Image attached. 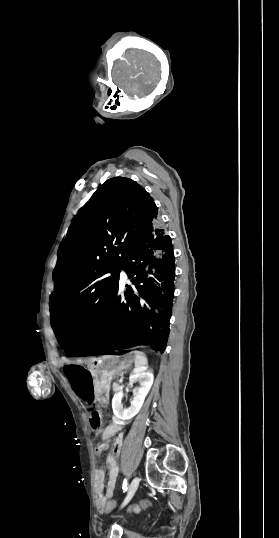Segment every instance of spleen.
I'll return each instance as SVG.
<instances>
[{
    "label": "spleen",
    "instance_id": "1",
    "mask_svg": "<svg viewBox=\"0 0 279 538\" xmlns=\"http://www.w3.org/2000/svg\"><path fill=\"white\" fill-rule=\"evenodd\" d=\"M132 354L135 356V368H145V366H148L146 354H143V352H132Z\"/></svg>",
    "mask_w": 279,
    "mask_h": 538
}]
</instances>
